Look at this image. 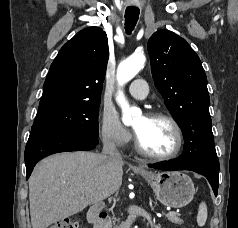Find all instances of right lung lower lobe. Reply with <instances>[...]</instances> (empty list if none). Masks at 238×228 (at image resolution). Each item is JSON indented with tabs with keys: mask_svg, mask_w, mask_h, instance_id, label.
<instances>
[{
	"mask_svg": "<svg viewBox=\"0 0 238 228\" xmlns=\"http://www.w3.org/2000/svg\"><path fill=\"white\" fill-rule=\"evenodd\" d=\"M98 144V137L75 131H31L25 148L26 179L35 164L44 157L68 151H89Z\"/></svg>",
	"mask_w": 238,
	"mask_h": 228,
	"instance_id": "98d812e1",
	"label": "right lung lower lobe"
}]
</instances>
